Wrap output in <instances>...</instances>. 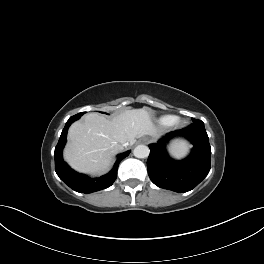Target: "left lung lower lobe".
<instances>
[{"mask_svg": "<svg viewBox=\"0 0 264 264\" xmlns=\"http://www.w3.org/2000/svg\"><path fill=\"white\" fill-rule=\"evenodd\" d=\"M175 137H185L194 145L191 154L182 161L171 159L166 151L167 143ZM149 148L148 175L160 188L179 193L190 191L210 171L211 148L203 122L170 132Z\"/></svg>", "mask_w": 264, "mask_h": 264, "instance_id": "0a47b994", "label": "left lung lower lobe"}]
</instances>
